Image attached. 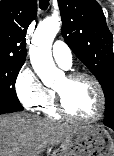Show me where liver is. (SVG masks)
I'll list each match as a JSON object with an SVG mask.
<instances>
[{
	"mask_svg": "<svg viewBox=\"0 0 114 156\" xmlns=\"http://www.w3.org/2000/svg\"><path fill=\"white\" fill-rule=\"evenodd\" d=\"M74 126L15 113L0 115V156H39L46 145H58Z\"/></svg>",
	"mask_w": 114,
	"mask_h": 156,
	"instance_id": "1",
	"label": "liver"
}]
</instances>
